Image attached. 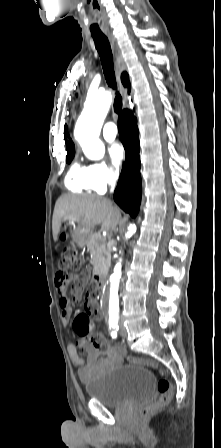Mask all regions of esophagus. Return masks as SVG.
<instances>
[{
    "instance_id": "obj_1",
    "label": "esophagus",
    "mask_w": 221,
    "mask_h": 448,
    "mask_svg": "<svg viewBox=\"0 0 221 448\" xmlns=\"http://www.w3.org/2000/svg\"><path fill=\"white\" fill-rule=\"evenodd\" d=\"M108 39L110 41L111 48H112V51H113V54H114V58H115L116 76H117V79H118L119 84H120V91L125 96L127 91L122 86L121 80H120L121 73L125 70V62H124V59L122 57L121 51H120V49L118 47V44L116 42L115 37L113 35H108ZM124 107H126V105H124Z\"/></svg>"
}]
</instances>
